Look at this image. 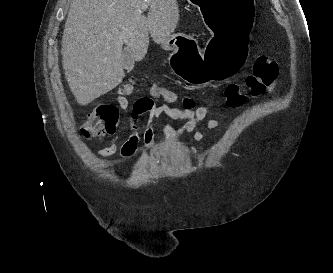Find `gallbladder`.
I'll use <instances>...</instances> for the list:
<instances>
[{
  "label": "gallbladder",
  "instance_id": "1",
  "mask_svg": "<svg viewBox=\"0 0 333 273\" xmlns=\"http://www.w3.org/2000/svg\"><path fill=\"white\" fill-rule=\"evenodd\" d=\"M122 54H123V68L127 71H131L134 68L135 64L132 52L127 47H125Z\"/></svg>",
  "mask_w": 333,
  "mask_h": 273
}]
</instances>
